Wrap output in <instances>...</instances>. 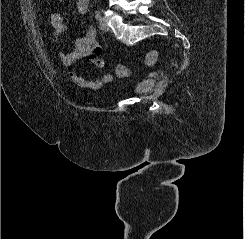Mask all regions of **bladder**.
Masks as SVG:
<instances>
[{"instance_id":"1","label":"bladder","mask_w":245,"mask_h":239,"mask_svg":"<svg viewBox=\"0 0 245 239\" xmlns=\"http://www.w3.org/2000/svg\"><path fill=\"white\" fill-rule=\"evenodd\" d=\"M154 87V81L152 80H141L133 85L132 89L130 90L129 94L136 96L141 95Z\"/></svg>"}]
</instances>
